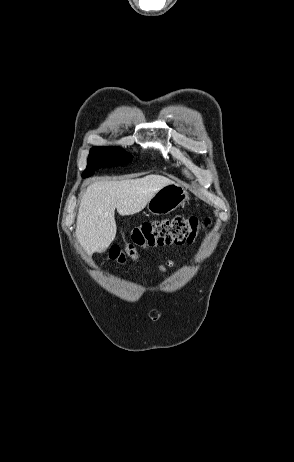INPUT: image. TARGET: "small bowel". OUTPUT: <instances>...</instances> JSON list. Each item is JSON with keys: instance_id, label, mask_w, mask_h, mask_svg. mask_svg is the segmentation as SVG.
<instances>
[{"instance_id": "1", "label": "small bowel", "mask_w": 294, "mask_h": 462, "mask_svg": "<svg viewBox=\"0 0 294 462\" xmlns=\"http://www.w3.org/2000/svg\"><path fill=\"white\" fill-rule=\"evenodd\" d=\"M174 264L172 261H167L165 264H161L158 266L159 271L165 273L167 272L168 268L173 267Z\"/></svg>"}]
</instances>
